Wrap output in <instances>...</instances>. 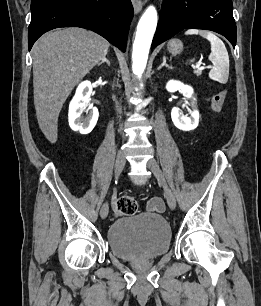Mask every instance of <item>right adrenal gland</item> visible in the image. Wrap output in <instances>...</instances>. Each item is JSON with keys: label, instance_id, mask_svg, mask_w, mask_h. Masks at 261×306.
<instances>
[{"label": "right adrenal gland", "instance_id": "2a0ac1e0", "mask_svg": "<svg viewBox=\"0 0 261 306\" xmlns=\"http://www.w3.org/2000/svg\"><path fill=\"white\" fill-rule=\"evenodd\" d=\"M103 63H107L108 66H110V62L107 58H104L100 63H98L97 65L100 66L102 65Z\"/></svg>", "mask_w": 261, "mask_h": 306}]
</instances>
